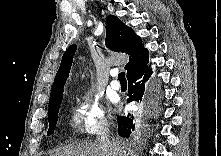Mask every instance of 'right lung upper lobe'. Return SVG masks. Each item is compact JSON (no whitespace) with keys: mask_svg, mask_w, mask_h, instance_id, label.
<instances>
[{"mask_svg":"<svg viewBox=\"0 0 221 156\" xmlns=\"http://www.w3.org/2000/svg\"><path fill=\"white\" fill-rule=\"evenodd\" d=\"M106 46L118 52H125L129 55V62L126 64L127 76L134 70L148 64L149 52L144 48L142 40L131 27L126 26L118 17L110 15L106 19ZM76 45H71L64 53L60 68L56 74L49 106L63 97L64 84L68 78L72 65Z\"/></svg>","mask_w":221,"mask_h":156,"instance_id":"1","label":"right lung upper lobe"}]
</instances>
